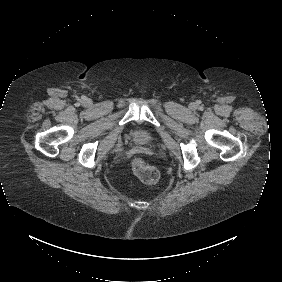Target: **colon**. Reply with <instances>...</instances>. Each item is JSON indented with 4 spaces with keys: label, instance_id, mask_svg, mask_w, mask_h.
<instances>
[{
    "label": "colon",
    "instance_id": "5ec220e1",
    "mask_svg": "<svg viewBox=\"0 0 282 282\" xmlns=\"http://www.w3.org/2000/svg\"><path fill=\"white\" fill-rule=\"evenodd\" d=\"M131 168L136 176L146 184H154L158 180V173L152 166L147 165L143 156L137 155L131 159Z\"/></svg>",
    "mask_w": 282,
    "mask_h": 282
}]
</instances>
